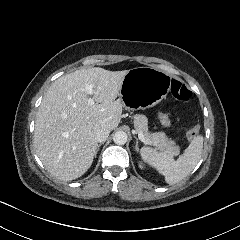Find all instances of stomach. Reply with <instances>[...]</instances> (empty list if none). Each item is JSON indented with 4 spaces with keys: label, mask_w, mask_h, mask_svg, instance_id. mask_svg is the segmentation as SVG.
I'll return each mask as SVG.
<instances>
[{
    "label": "stomach",
    "mask_w": 240,
    "mask_h": 240,
    "mask_svg": "<svg viewBox=\"0 0 240 240\" xmlns=\"http://www.w3.org/2000/svg\"><path fill=\"white\" fill-rule=\"evenodd\" d=\"M171 76L154 67H135L128 70L120 90L124 107L145 109L163 100L170 91Z\"/></svg>",
    "instance_id": "0dacf381"
}]
</instances>
